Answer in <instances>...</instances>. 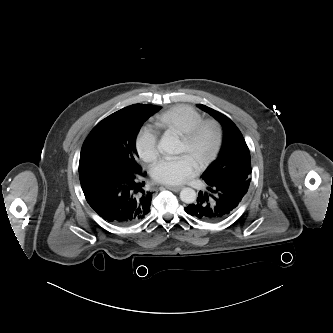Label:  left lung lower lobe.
Here are the masks:
<instances>
[{"label":"left lung lower lobe","mask_w":333,"mask_h":333,"mask_svg":"<svg viewBox=\"0 0 333 333\" xmlns=\"http://www.w3.org/2000/svg\"><path fill=\"white\" fill-rule=\"evenodd\" d=\"M202 179L207 184V191H200L196 202L188 205L185 211L206 222H218L229 216L238 207L249 188L246 183Z\"/></svg>","instance_id":"1"}]
</instances>
